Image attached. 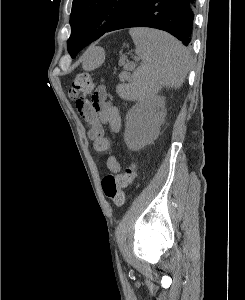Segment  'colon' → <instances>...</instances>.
Instances as JSON below:
<instances>
[{"instance_id":"colon-1","label":"colon","mask_w":245,"mask_h":300,"mask_svg":"<svg viewBox=\"0 0 245 300\" xmlns=\"http://www.w3.org/2000/svg\"><path fill=\"white\" fill-rule=\"evenodd\" d=\"M94 88V82L90 74L81 72L74 76L70 96L76 97L79 93H90ZM137 174L135 164H130L123 173L118 175L108 174L103 179V191L113 203L121 207L125 203L124 189L135 179Z\"/></svg>"}]
</instances>
